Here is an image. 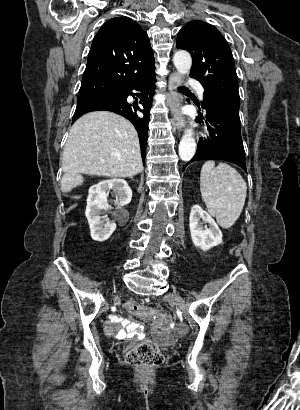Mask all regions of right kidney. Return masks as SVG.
Segmentation results:
<instances>
[{"mask_svg": "<svg viewBox=\"0 0 300 410\" xmlns=\"http://www.w3.org/2000/svg\"><path fill=\"white\" fill-rule=\"evenodd\" d=\"M110 190L116 194L115 204L119 207L131 202L132 190L123 179L103 180L90 187L85 215L89 223L91 237L95 241L107 240L116 229L114 221L111 222L107 216H100L101 210L111 209L107 201Z\"/></svg>", "mask_w": 300, "mask_h": 410, "instance_id": "right-kidney-1", "label": "right kidney"}]
</instances>
